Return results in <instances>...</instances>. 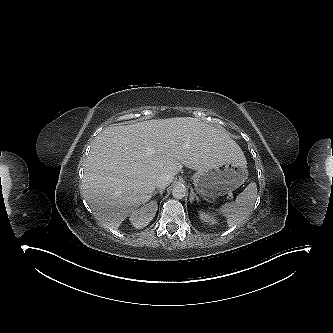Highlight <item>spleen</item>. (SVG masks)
Returning <instances> with one entry per match:
<instances>
[{
	"mask_svg": "<svg viewBox=\"0 0 333 333\" xmlns=\"http://www.w3.org/2000/svg\"><path fill=\"white\" fill-rule=\"evenodd\" d=\"M257 198L256 183L251 182L234 202L226 203L217 212L227 219L229 227L241 224L250 214Z\"/></svg>",
	"mask_w": 333,
	"mask_h": 333,
	"instance_id": "1",
	"label": "spleen"
}]
</instances>
